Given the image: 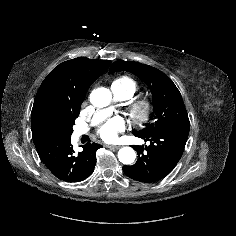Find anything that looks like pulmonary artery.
Masks as SVG:
<instances>
[{
	"mask_svg": "<svg viewBox=\"0 0 236 236\" xmlns=\"http://www.w3.org/2000/svg\"><path fill=\"white\" fill-rule=\"evenodd\" d=\"M111 90L114 94L115 99H117V100L128 99L126 92L123 91L122 89H120L118 86L112 85ZM110 112H111L110 108L99 110L92 120V125H95L98 122H100L101 120H103L104 118H106ZM88 130H89L88 127H77L74 130V134L76 137H79V136L87 133Z\"/></svg>",
	"mask_w": 236,
	"mask_h": 236,
	"instance_id": "obj_1",
	"label": "pulmonary artery"
}]
</instances>
